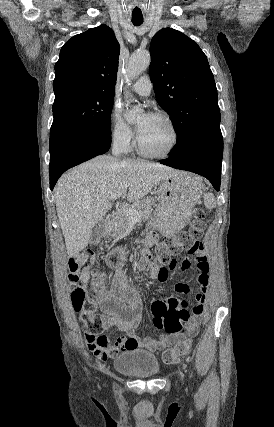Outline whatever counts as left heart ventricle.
<instances>
[{"label": "left heart ventricle", "mask_w": 274, "mask_h": 427, "mask_svg": "<svg viewBox=\"0 0 274 427\" xmlns=\"http://www.w3.org/2000/svg\"><path fill=\"white\" fill-rule=\"evenodd\" d=\"M144 120V116L137 121L139 126ZM138 136L143 149L152 154L164 153L171 145L173 140L172 131L164 120L149 116Z\"/></svg>", "instance_id": "b2bd125f"}]
</instances>
